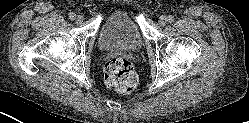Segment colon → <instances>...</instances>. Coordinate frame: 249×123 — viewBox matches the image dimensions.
<instances>
[{
  "label": "colon",
  "instance_id": "5ec220e1",
  "mask_svg": "<svg viewBox=\"0 0 249 123\" xmlns=\"http://www.w3.org/2000/svg\"><path fill=\"white\" fill-rule=\"evenodd\" d=\"M105 82L111 90L127 95L136 88L138 76L128 59L113 57L105 65Z\"/></svg>",
  "mask_w": 249,
  "mask_h": 123
}]
</instances>
